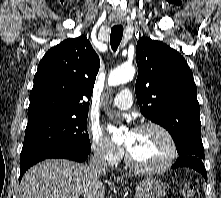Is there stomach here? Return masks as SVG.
I'll return each mask as SVG.
<instances>
[{
    "label": "stomach",
    "mask_w": 221,
    "mask_h": 198,
    "mask_svg": "<svg viewBox=\"0 0 221 198\" xmlns=\"http://www.w3.org/2000/svg\"><path fill=\"white\" fill-rule=\"evenodd\" d=\"M134 191L136 198H163L166 193L163 183L155 178L142 180Z\"/></svg>",
    "instance_id": "stomach-1"
}]
</instances>
